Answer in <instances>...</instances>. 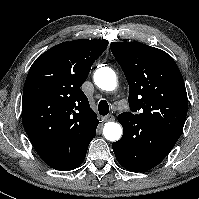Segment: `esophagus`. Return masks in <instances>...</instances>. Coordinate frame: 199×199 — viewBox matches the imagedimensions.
Returning a JSON list of instances; mask_svg holds the SVG:
<instances>
[{
	"mask_svg": "<svg viewBox=\"0 0 199 199\" xmlns=\"http://www.w3.org/2000/svg\"><path fill=\"white\" fill-rule=\"evenodd\" d=\"M103 120L105 121V122H109V121H114L115 120V117L113 116V115H107V116H104L103 117Z\"/></svg>",
	"mask_w": 199,
	"mask_h": 199,
	"instance_id": "obj_1",
	"label": "esophagus"
}]
</instances>
